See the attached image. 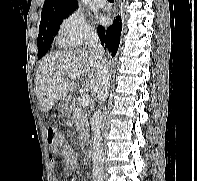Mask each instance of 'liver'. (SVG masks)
Returning <instances> with one entry per match:
<instances>
[{"label":"liver","instance_id":"obj_1","mask_svg":"<svg viewBox=\"0 0 197 181\" xmlns=\"http://www.w3.org/2000/svg\"><path fill=\"white\" fill-rule=\"evenodd\" d=\"M85 76L86 87L92 94L99 89V72L90 52L68 50L44 57L37 68L35 92L42 112H48L53 103L69 97L79 81L69 80L70 76ZM57 78L62 81L58 82Z\"/></svg>","mask_w":197,"mask_h":181}]
</instances>
